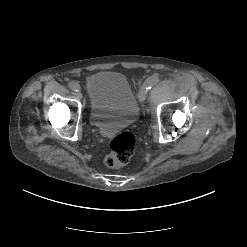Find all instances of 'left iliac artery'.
<instances>
[{"instance_id": "obj_1", "label": "left iliac artery", "mask_w": 247, "mask_h": 247, "mask_svg": "<svg viewBox=\"0 0 247 247\" xmlns=\"http://www.w3.org/2000/svg\"><path fill=\"white\" fill-rule=\"evenodd\" d=\"M159 81V78L157 76H152L150 78H148L145 81V87L146 89H151L157 82Z\"/></svg>"}]
</instances>
